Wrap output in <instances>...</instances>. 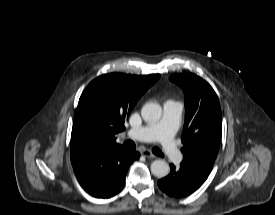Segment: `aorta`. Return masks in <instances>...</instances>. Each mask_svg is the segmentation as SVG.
Listing matches in <instances>:
<instances>
[{
  "label": "aorta",
  "mask_w": 275,
  "mask_h": 215,
  "mask_svg": "<svg viewBox=\"0 0 275 215\" xmlns=\"http://www.w3.org/2000/svg\"><path fill=\"white\" fill-rule=\"evenodd\" d=\"M141 116L148 123H156L162 116V108L154 102L146 103L141 109ZM151 172L158 178L165 177L170 172L169 164L164 160H155L151 164Z\"/></svg>",
  "instance_id": "1"
}]
</instances>
